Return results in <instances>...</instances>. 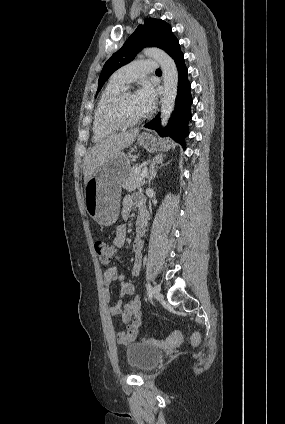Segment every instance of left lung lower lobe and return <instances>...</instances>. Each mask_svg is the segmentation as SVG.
I'll list each match as a JSON object with an SVG mask.
<instances>
[{
	"instance_id": "obj_1",
	"label": "left lung lower lobe",
	"mask_w": 285,
	"mask_h": 424,
	"mask_svg": "<svg viewBox=\"0 0 285 424\" xmlns=\"http://www.w3.org/2000/svg\"><path fill=\"white\" fill-rule=\"evenodd\" d=\"M167 54L175 61L178 70V91L175 100V110L164 129L160 125V114L145 124V127L154 129L161 136L171 137L186 149L185 137L189 133L188 122L192 117L190 106L193 100L190 93L191 84L187 77V67L184 63V55L181 52L178 40L173 43Z\"/></svg>"
}]
</instances>
